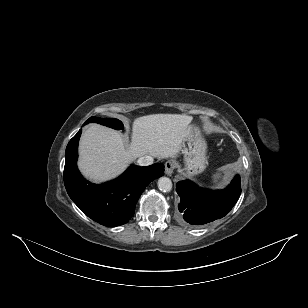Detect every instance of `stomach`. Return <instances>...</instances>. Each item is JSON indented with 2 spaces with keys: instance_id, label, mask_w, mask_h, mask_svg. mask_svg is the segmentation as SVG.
I'll return each instance as SVG.
<instances>
[{
  "instance_id": "obj_1",
  "label": "stomach",
  "mask_w": 308,
  "mask_h": 308,
  "mask_svg": "<svg viewBox=\"0 0 308 308\" xmlns=\"http://www.w3.org/2000/svg\"><path fill=\"white\" fill-rule=\"evenodd\" d=\"M206 148V142L200 135L199 130L195 126L190 125L182 148L186 175L195 176L204 171L207 164Z\"/></svg>"
}]
</instances>
